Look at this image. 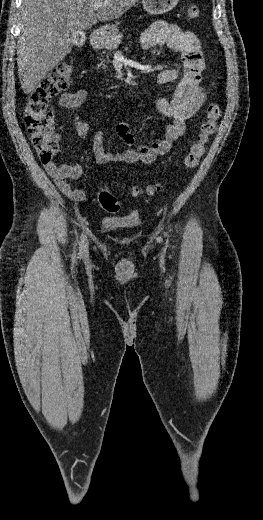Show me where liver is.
<instances>
[{
	"instance_id": "obj_1",
	"label": "liver",
	"mask_w": 263,
	"mask_h": 520,
	"mask_svg": "<svg viewBox=\"0 0 263 520\" xmlns=\"http://www.w3.org/2000/svg\"><path fill=\"white\" fill-rule=\"evenodd\" d=\"M138 0H23L18 76L26 94L71 52L70 33L121 17ZM97 2L103 3L98 9Z\"/></svg>"
}]
</instances>
